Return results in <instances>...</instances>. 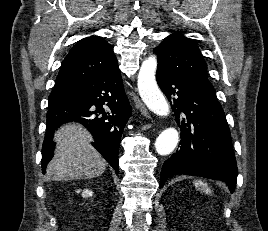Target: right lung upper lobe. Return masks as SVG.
Returning <instances> with one entry per match:
<instances>
[{
	"instance_id": "obj_1",
	"label": "right lung upper lobe",
	"mask_w": 268,
	"mask_h": 231,
	"mask_svg": "<svg viewBox=\"0 0 268 231\" xmlns=\"http://www.w3.org/2000/svg\"><path fill=\"white\" fill-rule=\"evenodd\" d=\"M116 63L117 59L111 44L98 36L84 38L78 41L65 57L54 90L78 89Z\"/></svg>"
}]
</instances>
